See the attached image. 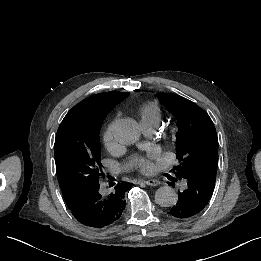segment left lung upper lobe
Wrapping results in <instances>:
<instances>
[{
  "instance_id": "1",
  "label": "left lung upper lobe",
  "mask_w": 261,
  "mask_h": 261,
  "mask_svg": "<svg viewBox=\"0 0 261 261\" xmlns=\"http://www.w3.org/2000/svg\"><path fill=\"white\" fill-rule=\"evenodd\" d=\"M178 121L176 157L181 164L175 175L194 173L215 181L218 167V138L209 115L194 102L171 93L156 95Z\"/></svg>"
}]
</instances>
